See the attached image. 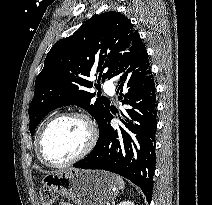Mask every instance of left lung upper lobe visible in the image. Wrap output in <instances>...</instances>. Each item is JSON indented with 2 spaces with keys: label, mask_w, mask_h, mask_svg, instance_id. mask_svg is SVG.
<instances>
[{
  "label": "left lung upper lobe",
  "mask_w": 212,
  "mask_h": 205,
  "mask_svg": "<svg viewBox=\"0 0 212 205\" xmlns=\"http://www.w3.org/2000/svg\"><path fill=\"white\" fill-rule=\"evenodd\" d=\"M138 35L127 17L109 11L87 21L72 36L56 42L35 81L29 107L31 135L47 113L74 104L86 109L100 125L110 101L97 95L96 101L91 102L96 94L87 91L94 85L87 77L96 72L98 83L101 78L102 82L110 79Z\"/></svg>",
  "instance_id": "5c2ea615"
}]
</instances>
